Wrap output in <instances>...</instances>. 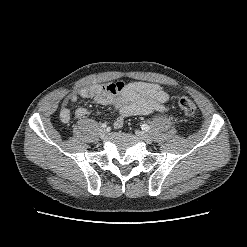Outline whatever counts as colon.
Masks as SVG:
<instances>
[{
    "label": "colon",
    "mask_w": 247,
    "mask_h": 247,
    "mask_svg": "<svg viewBox=\"0 0 247 247\" xmlns=\"http://www.w3.org/2000/svg\"><path fill=\"white\" fill-rule=\"evenodd\" d=\"M178 106L186 116H193L196 112L194 102L187 97H180L178 99Z\"/></svg>",
    "instance_id": "obj_1"
}]
</instances>
